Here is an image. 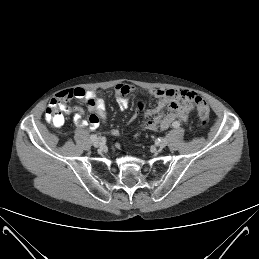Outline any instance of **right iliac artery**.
Segmentation results:
<instances>
[{"instance_id": "1", "label": "right iliac artery", "mask_w": 259, "mask_h": 259, "mask_svg": "<svg viewBox=\"0 0 259 259\" xmlns=\"http://www.w3.org/2000/svg\"><path fill=\"white\" fill-rule=\"evenodd\" d=\"M90 138H91V140L93 141V140L97 139V136H96L95 134H92V135L90 136Z\"/></svg>"}]
</instances>
